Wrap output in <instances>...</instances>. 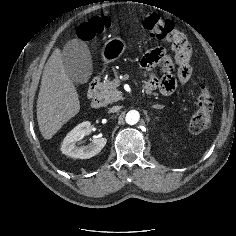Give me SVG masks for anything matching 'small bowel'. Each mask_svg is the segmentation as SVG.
Here are the masks:
<instances>
[{
    "label": "small bowel",
    "mask_w": 236,
    "mask_h": 236,
    "mask_svg": "<svg viewBox=\"0 0 236 236\" xmlns=\"http://www.w3.org/2000/svg\"><path fill=\"white\" fill-rule=\"evenodd\" d=\"M192 48L190 44L180 53H176L177 78L173 74L175 64L167 51L158 47L146 53L140 62L143 69L149 72V79L143 89L145 92L159 90L163 95H170L174 92L177 82L185 83L191 76L190 60ZM155 66H159L161 75L157 77L153 73ZM186 78L184 81L183 78Z\"/></svg>",
    "instance_id": "c3829d8e"
}]
</instances>
